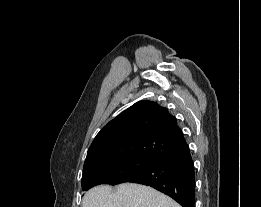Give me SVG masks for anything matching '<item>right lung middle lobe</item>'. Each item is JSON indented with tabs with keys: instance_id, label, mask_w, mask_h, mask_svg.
<instances>
[{
	"instance_id": "right-lung-middle-lobe-1",
	"label": "right lung middle lobe",
	"mask_w": 261,
	"mask_h": 207,
	"mask_svg": "<svg viewBox=\"0 0 261 207\" xmlns=\"http://www.w3.org/2000/svg\"><path fill=\"white\" fill-rule=\"evenodd\" d=\"M158 160L144 156H128L109 161L97 162L83 168L82 190L87 191L99 184L116 185Z\"/></svg>"
}]
</instances>
